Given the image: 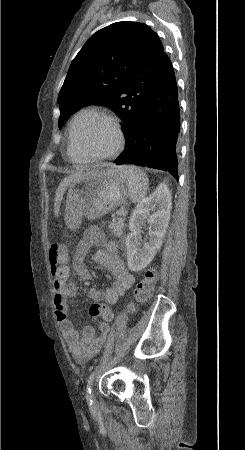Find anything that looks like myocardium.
<instances>
[{"label": "myocardium", "instance_id": "1", "mask_svg": "<svg viewBox=\"0 0 245 450\" xmlns=\"http://www.w3.org/2000/svg\"><path fill=\"white\" fill-rule=\"evenodd\" d=\"M95 121H104L112 126L113 130L116 133V145L112 151H110L109 153H107L105 155L89 156L78 150V148L76 146V140H75V131H76L78 125H80L81 123L95 122ZM68 136H69V143H70L71 150L73 152H75L82 159H91V160H96V161L110 160V159L118 156L120 154V152L123 150L124 145H125V134H124L123 128H122L119 120L115 116H113L109 113L100 112V111H97V112L89 115L86 118H74L70 124Z\"/></svg>", "mask_w": 245, "mask_h": 450}]
</instances>
